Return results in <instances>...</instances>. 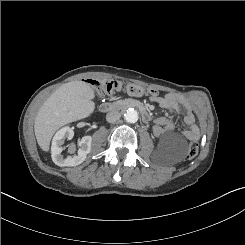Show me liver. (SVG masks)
I'll return each mask as SVG.
<instances>
[{
    "instance_id": "1",
    "label": "liver",
    "mask_w": 245,
    "mask_h": 245,
    "mask_svg": "<svg viewBox=\"0 0 245 245\" xmlns=\"http://www.w3.org/2000/svg\"><path fill=\"white\" fill-rule=\"evenodd\" d=\"M92 87L84 81L68 82L40 107L34 122V131L40 148L49 151L54 133L62 126L90 116L95 103Z\"/></svg>"
}]
</instances>
